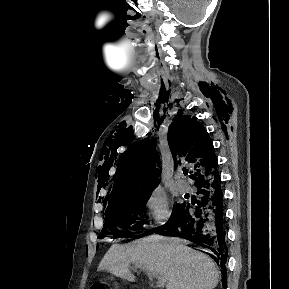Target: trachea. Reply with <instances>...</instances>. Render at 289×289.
Returning <instances> with one entry per match:
<instances>
[{
	"mask_svg": "<svg viewBox=\"0 0 289 289\" xmlns=\"http://www.w3.org/2000/svg\"><path fill=\"white\" fill-rule=\"evenodd\" d=\"M188 174V171L187 170H184V175H187Z\"/></svg>",
	"mask_w": 289,
	"mask_h": 289,
	"instance_id": "3493384b",
	"label": "trachea"
}]
</instances>
